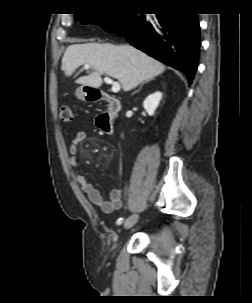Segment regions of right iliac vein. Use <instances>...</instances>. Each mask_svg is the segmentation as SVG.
<instances>
[{
  "label": "right iliac vein",
  "instance_id": "63e3f726",
  "mask_svg": "<svg viewBox=\"0 0 252 303\" xmlns=\"http://www.w3.org/2000/svg\"><path fill=\"white\" fill-rule=\"evenodd\" d=\"M139 217L138 215H132L129 218H127L124 222V228L125 229H130L131 227H133L137 221H138Z\"/></svg>",
  "mask_w": 252,
  "mask_h": 303
}]
</instances>
